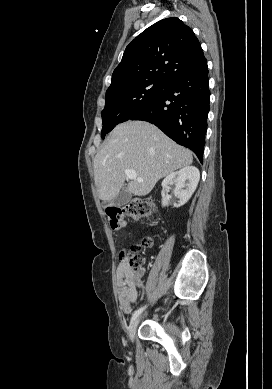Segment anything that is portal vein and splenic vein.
<instances>
[{"mask_svg":"<svg viewBox=\"0 0 272 389\" xmlns=\"http://www.w3.org/2000/svg\"><path fill=\"white\" fill-rule=\"evenodd\" d=\"M125 175L127 178L131 179V180H137L138 182H143L144 180L142 178H137V174L134 170H130V169H126L124 171Z\"/></svg>","mask_w":272,"mask_h":389,"instance_id":"portal-vein-and-splenic-vein-1","label":"portal vein and splenic vein"}]
</instances>
